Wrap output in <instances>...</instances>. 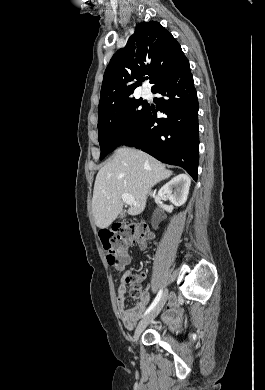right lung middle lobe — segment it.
Wrapping results in <instances>:
<instances>
[{
    "mask_svg": "<svg viewBox=\"0 0 265 390\" xmlns=\"http://www.w3.org/2000/svg\"><path fill=\"white\" fill-rule=\"evenodd\" d=\"M149 107L132 97L98 113L100 160L122 144L145 118Z\"/></svg>",
    "mask_w": 265,
    "mask_h": 390,
    "instance_id": "obj_1",
    "label": "right lung middle lobe"
}]
</instances>
